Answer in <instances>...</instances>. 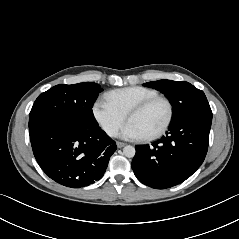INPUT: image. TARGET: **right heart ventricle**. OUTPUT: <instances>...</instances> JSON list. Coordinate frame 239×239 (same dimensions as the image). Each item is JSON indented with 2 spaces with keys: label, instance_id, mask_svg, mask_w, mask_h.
<instances>
[{
  "label": "right heart ventricle",
  "instance_id": "1",
  "mask_svg": "<svg viewBox=\"0 0 239 239\" xmlns=\"http://www.w3.org/2000/svg\"><path fill=\"white\" fill-rule=\"evenodd\" d=\"M156 95H159V93L155 89L144 86H130L107 92L105 100L127 116L134 106Z\"/></svg>",
  "mask_w": 239,
  "mask_h": 239
}]
</instances>
